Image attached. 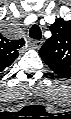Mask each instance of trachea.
Instances as JSON below:
<instances>
[{"label": "trachea", "mask_w": 71, "mask_h": 119, "mask_svg": "<svg viewBox=\"0 0 71 119\" xmlns=\"http://www.w3.org/2000/svg\"><path fill=\"white\" fill-rule=\"evenodd\" d=\"M29 36L33 39H37V40L41 39L42 33H41V30H40V27L38 25H33L30 28Z\"/></svg>", "instance_id": "3493384b"}]
</instances>
